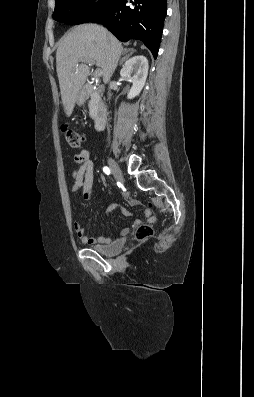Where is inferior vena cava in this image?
<instances>
[{"instance_id": "inferior-vena-cava-1", "label": "inferior vena cava", "mask_w": 254, "mask_h": 397, "mask_svg": "<svg viewBox=\"0 0 254 397\" xmlns=\"http://www.w3.org/2000/svg\"><path fill=\"white\" fill-rule=\"evenodd\" d=\"M111 98V93H110V91L108 92V99H110Z\"/></svg>"}]
</instances>
